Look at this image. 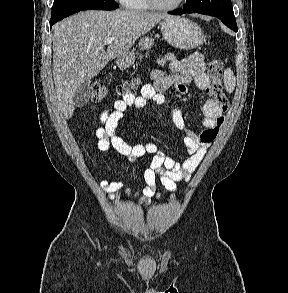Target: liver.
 <instances>
[{"instance_id": "obj_1", "label": "liver", "mask_w": 288, "mask_h": 293, "mask_svg": "<svg viewBox=\"0 0 288 293\" xmlns=\"http://www.w3.org/2000/svg\"><path fill=\"white\" fill-rule=\"evenodd\" d=\"M168 15L133 10H89L53 27V77L59 107L66 119L74 112V95L107 63L125 55L135 41ZM115 38L104 49V40Z\"/></svg>"}]
</instances>
